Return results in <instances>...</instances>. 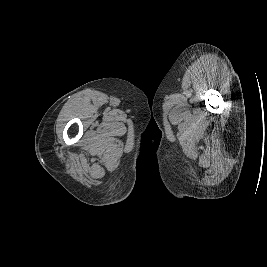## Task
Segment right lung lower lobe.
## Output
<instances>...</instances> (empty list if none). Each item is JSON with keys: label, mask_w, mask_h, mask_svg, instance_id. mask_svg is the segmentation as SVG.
Returning <instances> with one entry per match:
<instances>
[{"label": "right lung lower lobe", "mask_w": 267, "mask_h": 267, "mask_svg": "<svg viewBox=\"0 0 267 267\" xmlns=\"http://www.w3.org/2000/svg\"><path fill=\"white\" fill-rule=\"evenodd\" d=\"M148 152H149V149L146 147V144H144V147L142 149V152H141V156H140L139 161L142 160V159H144V158H146Z\"/></svg>", "instance_id": "right-lung-lower-lobe-1"}]
</instances>
